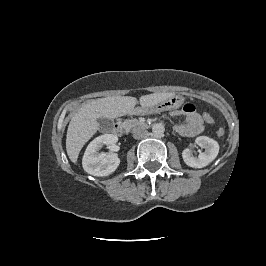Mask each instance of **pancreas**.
Returning a JSON list of instances; mask_svg holds the SVG:
<instances>
[{"label": "pancreas", "mask_w": 266, "mask_h": 266, "mask_svg": "<svg viewBox=\"0 0 266 266\" xmlns=\"http://www.w3.org/2000/svg\"><path fill=\"white\" fill-rule=\"evenodd\" d=\"M127 123L130 127L135 128L140 125L139 121L136 119L128 120Z\"/></svg>", "instance_id": "obj_1"}]
</instances>
